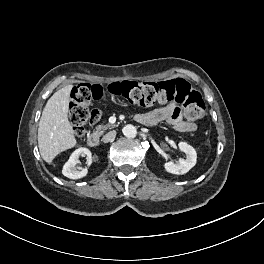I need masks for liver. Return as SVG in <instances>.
I'll use <instances>...</instances> for the list:
<instances>
[{"instance_id": "obj_1", "label": "liver", "mask_w": 264, "mask_h": 264, "mask_svg": "<svg viewBox=\"0 0 264 264\" xmlns=\"http://www.w3.org/2000/svg\"><path fill=\"white\" fill-rule=\"evenodd\" d=\"M73 85L55 92L47 101L38 127V147L41 157L51 164L61 152L73 148L77 140L68 120L70 93Z\"/></svg>"}]
</instances>
